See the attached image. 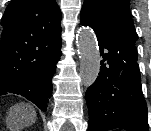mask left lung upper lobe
<instances>
[{
    "instance_id": "obj_1",
    "label": "left lung upper lobe",
    "mask_w": 151,
    "mask_h": 131,
    "mask_svg": "<svg viewBox=\"0 0 151 131\" xmlns=\"http://www.w3.org/2000/svg\"><path fill=\"white\" fill-rule=\"evenodd\" d=\"M80 21H87L111 35L131 59L137 60L138 35L130 16L129 0H85Z\"/></svg>"
}]
</instances>
